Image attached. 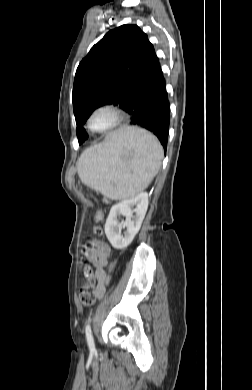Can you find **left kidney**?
<instances>
[{
	"instance_id": "5707ae66",
	"label": "left kidney",
	"mask_w": 252,
	"mask_h": 390,
	"mask_svg": "<svg viewBox=\"0 0 252 390\" xmlns=\"http://www.w3.org/2000/svg\"><path fill=\"white\" fill-rule=\"evenodd\" d=\"M134 206H136L135 215L132 210ZM147 208L148 194L146 192L112 206L106 220L105 234L113 248L124 249L133 241L141 227ZM119 215L125 216L124 222H118L117 216ZM122 228H126L124 236L121 234Z\"/></svg>"
}]
</instances>
